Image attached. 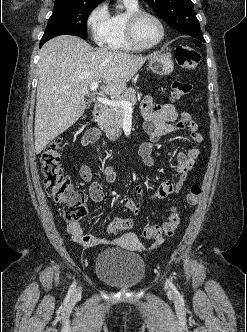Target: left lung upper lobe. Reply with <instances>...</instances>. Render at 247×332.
Instances as JSON below:
<instances>
[{
	"mask_svg": "<svg viewBox=\"0 0 247 332\" xmlns=\"http://www.w3.org/2000/svg\"><path fill=\"white\" fill-rule=\"evenodd\" d=\"M174 29L205 41L191 0H146Z\"/></svg>",
	"mask_w": 247,
	"mask_h": 332,
	"instance_id": "1",
	"label": "left lung upper lobe"
}]
</instances>
